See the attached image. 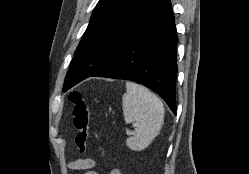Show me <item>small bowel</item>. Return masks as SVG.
Wrapping results in <instances>:
<instances>
[{
	"label": "small bowel",
	"mask_w": 249,
	"mask_h": 174,
	"mask_svg": "<svg viewBox=\"0 0 249 174\" xmlns=\"http://www.w3.org/2000/svg\"><path fill=\"white\" fill-rule=\"evenodd\" d=\"M96 162L92 158H79L70 162L69 167L73 170H84L85 174H98L93 170ZM110 174H121L120 170L113 169Z\"/></svg>",
	"instance_id": "c3829d8e"
}]
</instances>
